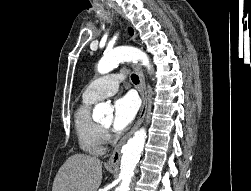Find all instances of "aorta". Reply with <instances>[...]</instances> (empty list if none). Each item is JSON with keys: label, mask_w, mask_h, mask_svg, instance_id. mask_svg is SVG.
Segmentation results:
<instances>
[{"label": "aorta", "mask_w": 251, "mask_h": 191, "mask_svg": "<svg viewBox=\"0 0 251 191\" xmlns=\"http://www.w3.org/2000/svg\"><path fill=\"white\" fill-rule=\"evenodd\" d=\"M138 60L150 70L149 58L145 52H141L138 48H130V46H119V48H114L110 52H105L103 58L98 62L97 70L99 74H108L120 62H138ZM111 111L113 109L107 103H97L93 115L96 119H101L103 113H111ZM145 139L146 129L145 127H141V129L135 131L134 137L128 139L127 143L123 145L120 167L122 181L121 185H119V191H128L131 177L140 159L141 151H143Z\"/></svg>", "instance_id": "1"}]
</instances>
